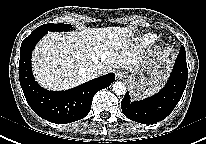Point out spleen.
<instances>
[{"label":"spleen","instance_id":"obj_1","mask_svg":"<svg viewBox=\"0 0 206 144\" xmlns=\"http://www.w3.org/2000/svg\"><path fill=\"white\" fill-rule=\"evenodd\" d=\"M159 89H160V88H157V89H154V90L149 91L147 94H145V97L151 96L152 94L156 93L157 90H159Z\"/></svg>","mask_w":206,"mask_h":144}]
</instances>
